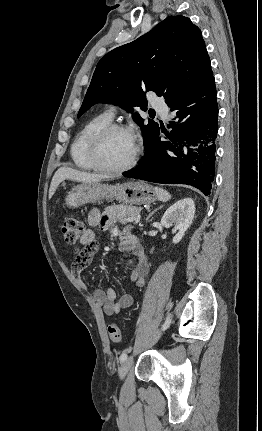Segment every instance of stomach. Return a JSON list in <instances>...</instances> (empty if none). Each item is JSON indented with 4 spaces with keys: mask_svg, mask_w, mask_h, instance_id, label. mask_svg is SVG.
I'll return each instance as SVG.
<instances>
[{
    "mask_svg": "<svg viewBox=\"0 0 262 431\" xmlns=\"http://www.w3.org/2000/svg\"><path fill=\"white\" fill-rule=\"evenodd\" d=\"M157 198L155 190L142 181L108 185L100 182L82 183L73 187L65 198L69 208H78L100 200H117L129 205L151 203Z\"/></svg>",
    "mask_w": 262,
    "mask_h": 431,
    "instance_id": "obj_1",
    "label": "stomach"
}]
</instances>
